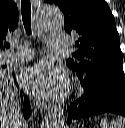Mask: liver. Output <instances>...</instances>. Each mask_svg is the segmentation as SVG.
Returning <instances> with one entry per match:
<instances>
[{
    "instance_id": "1",
    "label": "liver",
    "mask_w": 125,
    "mask_h": 128,
    "mask_svg": "<svg viewBox=\"0 0 125 128\" xmlns=\"http://www.w3.org/2000/svg\"><path fill=\"white\" fill-rule=\"evenodd\" d=\"M23 124L13 78L0 69V128H22Z\"/></svg>"
}]
</instances>
